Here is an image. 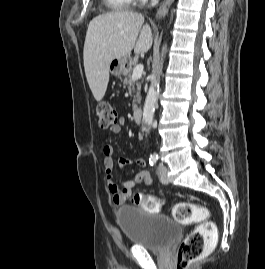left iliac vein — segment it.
Segmentation results:
<instances>
[{"label": "left iliac vein", "mask_w": 265, "mask_h": 269, "mask_svg": "<svg viewBox=\"0 0 265 269\" xmlns=\"http://www.w3.org/2000/svg\"><path fill=\"white\" fill-rule=\"evenodd\" d=\"M159 178L163 184H168L167 168L163 164H159Z\"/></svg>", "instance_id": "4c4485c4"}]
</instances>
